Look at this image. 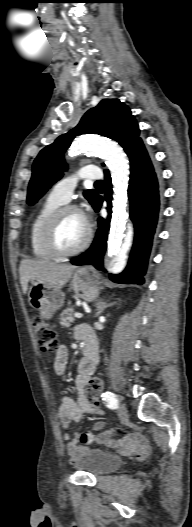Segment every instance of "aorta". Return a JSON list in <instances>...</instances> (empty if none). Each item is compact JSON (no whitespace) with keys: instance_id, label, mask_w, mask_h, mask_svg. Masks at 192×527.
<instances>
[{"instance_id":"obj_1","label":"aorta","mask_w":192,"mask_h":527,"mask_svg":"<svg viewBox=\"0 0 192 527\" xmlns=\"http://www.w3.org/2000/svg\"><path fill=\"white\" fill-rule=\"evenodd\" d=\"M79 153L102 156L110 169L113 183V214L108 241V256L117 257L112 271L118 273L126 265L127 251L132 242V228L127 230L126 189L129 180V166L126 155L116 144L97 136H81L72 144L69 155Z\"/></svg>"}]
</instances>
